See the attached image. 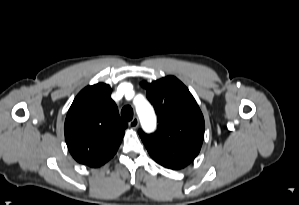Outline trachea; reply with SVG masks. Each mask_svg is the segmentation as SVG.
I'll return each instance as SVG.
<instances>
[{
    "label": "trachea",
    "mask_w": 299,
    "mask_h": 205,
    "mask_svg": "<svg viewBox=\"0 0 299 205\" xmlns=\"http://www.w3.org/2000/svg\"><path fill=\"white\" fill-rule=\"evenodd\" d=\"M121 117L125 121H130L133 118V109L131 106H125L121 110Z\"/></svg>",
    "instance_id": "trachea-1"
}]
</instances>
